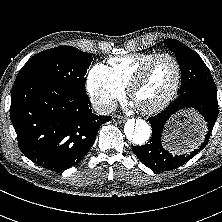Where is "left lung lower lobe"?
Returning a JSON list of instances; mask_svg holds the SVG:
<instances>
[{"label":"left lung lower lobe","instance_id":"0a47b994","mask_svg":"<svg viewBox=\"0 0 222 222\" xmlns=\"http://www.w3.org/2000/svg\"><path fill=\"white\" fill-rule=\"evenodd\" d=\"M193 108L198 111L207 124V133L201 144L189 154L171 155L161 144V134L167 120L180 109ZM218 116L217 92L194 89L183 92L161 113L148 119L152 126V137L144 146H132L138 159L152 170L175 169L190 160L209 141Z\"/></svg>","mask_w":222,"mask_h":222}]
</instances>
